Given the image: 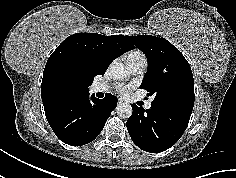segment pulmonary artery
Segmentation results:
<instances>
[{
    "label": "pulmonary artery",
    "mask_w": 236,
    "mask_h": 178,
    "mask_svg": "<svg viewBox=\"0 0 236 178\" xmlns=\"http://www.w3.org/2000/svg\"><path fill=\"white\" fill-rule=\"evenodd\" d=\"M129 70L131 71L132 74H141L147 66L146 60H138V61H128L127 62ZM92 91L93 92H105L107 91V87L102 85V84H97L92 86ZM152 107V100H149L145 103V108L150 109Z\"/></svg>",
    "instance_id": "1"
}]
</instances>
